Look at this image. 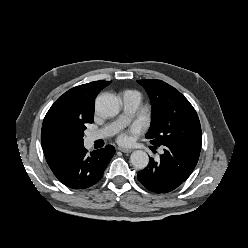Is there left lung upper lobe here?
<instances>
[{
  "label": "left lung upper lobe",
  "mask_w": 248,
  "mask_h": 248,
  "mask_svg": "<svg viewBox=\"0 0 248 248\" xmlns=\"http://www.w3.org/2000/svg\"><path fill=\"white\" fill-rule=\"evenodd\" d=\"M152 104L147 139L156 147H174L200 153L202 132L197 113L174 87L156 79L138 80Z\"/></svg>",
  "instance_id": "obj_1"
}]
</instances>
